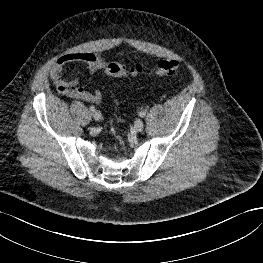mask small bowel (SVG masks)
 <instances>
[{
	"mask_svg": "<svg viewBox=\"0 0 263 263\" xmlns=\"http://www.w3.org/2000/svg\"><path fill=\"white\" fill-rule=\"evenodd\" d=\"M81 62L88 66L91 73L103 68L105 62L98 53L74 52L68 53L56 60L50 70V78L57 91L67 97L83 100L89 103H99L102 99L100 90L87 91L79 86L77 79L68 80L63 76V69L67 64Z\"/></svg>",
	"mask_w": 263,
	"mask_h": 263,
	"instance_id": "small-bowel-1",
	"label": "small bowel"
}]
</instances>
